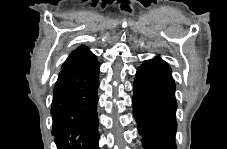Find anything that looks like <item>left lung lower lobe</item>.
Returning a JSON list of instances; mask_svg holds the SVG:
<instances>
[{"label": "left lung lower lobe", "instance_id": "0a47b994", "mask_svg": "<svg viewBox=\"0 0 227 149\" xmlns=\"http://www.w3.org/2000/svg\"><path fill=\"white\" fill-rule=\"evenodd\" d=\"M133 115L145 149H176L175 83L160 58L146 60L134 80Z\"/></svg>", "mask_w": 227, "mask_h": 149}]
</instances>
